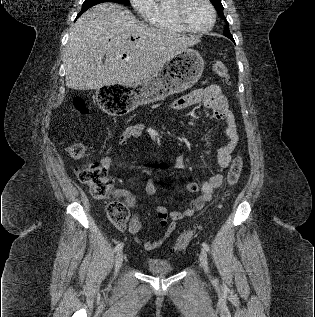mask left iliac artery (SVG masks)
Instances as JSON below:
<instances>
[{"mask_svg":"<svg viewBox=\"0 0 315 317\" xmlns=\"http://www.w3.org/2000/svg\"><path fill=\"white\" fill-rule=\"evenodd\" d=\"M202 247L204 248V250H206L207 252H209V246L206 243H202Z\"/></svg>","mask_w":315,"mask_h":317,"instance_id":"obj_1","label":"left iliac artery"}]
</instances>
